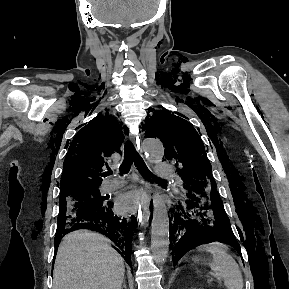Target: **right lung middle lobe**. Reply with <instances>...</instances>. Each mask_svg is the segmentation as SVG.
Masks as SVG:
<instances>
[{
  "label": "right lung middle lobe",
  "instance_id": "obj_1",
  "mask_svg": "<svg viewBox=\"0 0 289 289\" xmlns=\"http://www.w3.org/2000/svg\"><path fill=\"white\" fill-rule=\"evenodd\" d=\"M99 189L85 190L60 196L58 226L70 221L78 214L91 213L104 205Z\"/></svg>",
  "mask_w": 289,
  "mask_h": 289
}]
</instances>
